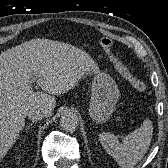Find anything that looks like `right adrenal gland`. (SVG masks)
Here are the masks:
<instances>
[{"label":"right adrenal gland","mask_w":168,"mask_h":168,"mask_svg":"<svg viewBox=\"0 0 168 168\" xmlns=\"http://www.w3.org/2000/svg\"><path fill=\"white\" fill-rule=\"evenodd\" d=\"M32 125H33V123H30L29 125H27L25 130L27 131Z\"/></svg>","instance_id":"obj_1"}]
</instances>
